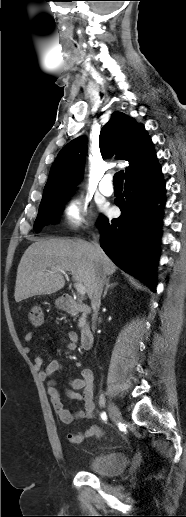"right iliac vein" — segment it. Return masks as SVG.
<instances>
[{
    "instance_id": "right-iliac-vein-1",
    "label": "right iliac vein",
    "mask_w": 186,
    "mask_h": 517,
    "mask_svg": "<svg viewBox=\"0 0 186 517\" xmlns=\"http://www.w3.org/2000/svg\"><path fill=\"white\" fill-rule=\"evenodd\" d=\"M108 411H109V416H110V418L112 419L113 422L118 423V422H120L122 420L121 413H120L119 409L117 408V406L113 402L109 403Z\"/></svg>"
}]
</instances>
